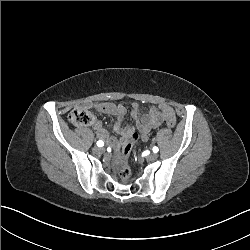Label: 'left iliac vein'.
I'll list each match as a JSON object with an SVG mask.
<instances>
[{
    "label": "left iliac vein",
    "mask_w": 250,
    "mask_h": 250,
    "mask_svg": "<svg viewBox=\"0 0 250 250\" xmlns=\"http://www.w3.org/2000/svg\"><path fill=\"white\" fill-rule=\"evenodd\" d=\"M158 158V155L156 154V153H152V154H150L149 156H147V159L149 160V161H154V160H156Z\"/></svg>",
    "instance_id": "left-iliac-vein-1"
}]
</instances>
